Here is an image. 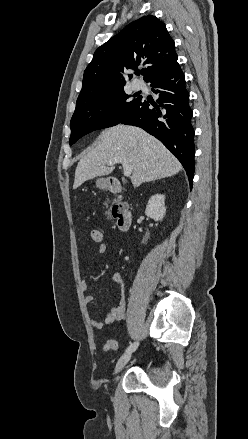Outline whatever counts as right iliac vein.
Listing matches in <instances>:
<instances>
[{
    "mask_svg": "<svg viewBox=\"0 0 248 439\" xmlns=\"http://www.w3.org/2000/svg\"><path fill=\"white\" fill-rule=\"evenodd\" d=\"M131 357H132V352H126L125 354H123L117 361L113 374L114 375L118 374L124 368V366L129 362Z\"/></svg>",
    "mask_w": 248,
    "mask_h": 439,
    "instance_id": "right-iliac-vein-1",
    "label": "right iliac vein"
}]
</instances>
